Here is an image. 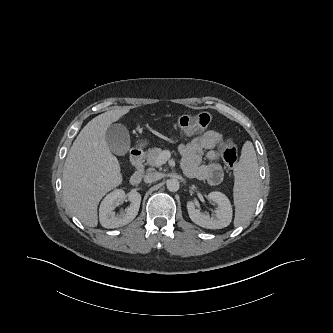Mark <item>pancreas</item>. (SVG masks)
Here are the masks:
<instances>
[{
    "label": "pancreas",
    "mask_w": 333,
    "mask_h": 333,
    "mask_svg": "<svg viewBox=\"0 0 333 333\" xmlns=\"http://www.w3.org/2000/svg\"><path fill=\"white\" fill-rule=\"evenodd\" d=\"M163 151L160 148H152L146 152L147 163L150 166L160 167L162 164L158 161V157Z\"/></svg>",
    "instance_id": "pancreas-1"
}]
</instances>
